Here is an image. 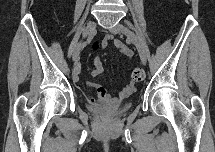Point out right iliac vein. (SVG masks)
<instances>
[{
  "label": "right iliac vein",
  "mask_w": 215,
  "mask_h": 152,
  "mask_svg": "<svg viewBox=\"0 0 215 152\" xmlns=\"http://www.w3.org/2000/svg\"><path fill=\"white\" fill-rule=\"evenodd\" d=\"M96 29V23L94 21H90L84 29L83 37H87L90 34H93ZM81 43H78L73 52V61L77 62L79 60L80 51H81Z\"/></svg>",
  "instance_id": "63e3f726"
}]
</instances>
